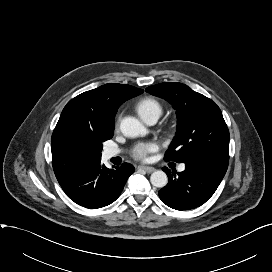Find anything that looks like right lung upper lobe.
Instances as JSON below:
<instances>
[{"instance_id":"obj_1","label":"right lung upper lobe","mask_w":272,"mask_h":272,"mask_svg":"<svg viewBox=\"0 0 272 272\" xmlns=\"http://www.w3.org/2000/svg\"><path fill=\"white\" fill-rule=\"evenodd\" d=\"M142 92L130 85L110 83L86 91L67 103L51 138L52 165L58 182L99 160L81 142L92 135L114 131L117 109Z\"/></svg>"}]
</instances>
